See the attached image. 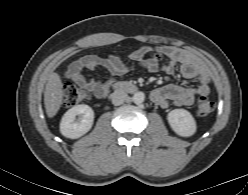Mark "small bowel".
Returning a JSON list of instances; mask_svg holds the SVG:
<instances>
[{"instance_id": "c3829d8e", "label": "small bowel", "mask_w": 248, "mask_h": 195, "mask_svg": "<svg viewBox=\"0 0 248 195\" xmlns=\"http://www.w3.org/2000/svg\"><path fill=\"white\" fill-rule=\"evenodd\" d=\"M157 51L164 54L167 60L160 65L158 61L147 56ZM132 63H128L111 56L106 60L96 56H87L72 63L67 70V77L78 86L87 88L95 97L106 95L110 84L116 76H122L136 67H140L149 73L162 70L168 75H173L177 65L183 77L196 79L197 86L186 87L177 84H167L156 88L151 92L152 100L161 107H168L170 103L177 106H188L194 102L196 96H206L210 92L211 77L207 67L191 53L171 47L143 46L130 54ZM98 67H104L109 72L106 80L87 79L84 71H94Z\"/></svg>"}]
</instances>
